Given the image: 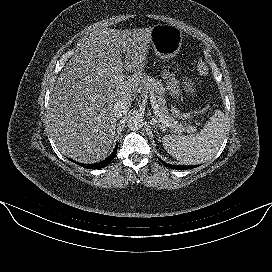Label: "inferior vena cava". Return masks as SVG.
Segmentation results:
<instances>
[{"mask_svg":"<svg viewBox=\"0 0 272 272\" xmlns=\"http://www.w3.org/2000/svg\"><path fill=\"white\" fill-rule=\"evenodd\" d=\"M129 110V105L123 101H117L113 106V113L115 117L120 118L124 116Z\"/></svg>","mask_w":272,"mask_h":272,"instance_id":"obj_1","label":"inferior vena cava"}]
</instances>
